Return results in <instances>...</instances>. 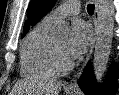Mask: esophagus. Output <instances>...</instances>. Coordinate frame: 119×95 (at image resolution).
<instances>
[{"label":"esophagus","mask_w":119,"mask_h":95,"mask_svg":"<svg viewBox=\"0 0 119 95\" xmlns=\"http://www.w3.org/2000/svg\"><path fill=\"white\" fill-rule=\"evenodd\" d=\"M93 22H94V30H95V38H96V34H97V27H98V22H99V8H98V3H95V12H94V18H93ZM95 38L93 40V43H92V46H91V49L89 51V54L83 64V66L80 68V70L77 72V74L67 83L66 87L68 89H78V84H77V81L80 77V75L82 74V71L84 69V67L86 66V64L88 63L90 57H91V54H92V51H93V48H94V44H95Z\"/></svg>","instance_id":"34e87169"}]
</instances>
